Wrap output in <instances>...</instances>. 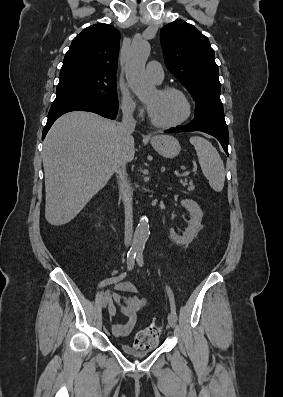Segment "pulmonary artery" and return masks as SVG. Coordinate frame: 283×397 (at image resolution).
<instances>
[{"instance_id":"pulmonary-artery-1","label":"pulmonary artery","mask_w":283,"mask_h":397,"mask_svg":"<svg viewBox=\"0 0 283 397\" xmlns=\"http://www.w3.org/2000/svg\"><path fill=\"white\" fill-rule=\"evenodd\" d=\"M148 76L157 83H161L164 79V71L161 64L157 61H150L147 64Z\"/></svg>"}]
</instances>
